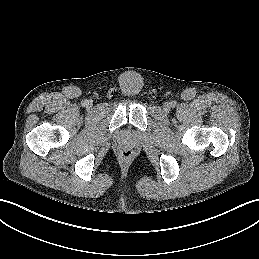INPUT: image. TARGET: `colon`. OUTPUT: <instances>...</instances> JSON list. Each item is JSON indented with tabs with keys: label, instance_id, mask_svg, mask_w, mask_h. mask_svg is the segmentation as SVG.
<instances>
[{
	"label": "colon",
	"instance_id": "1",
	"mask_svg": "<svg viewBox=\"0 0 259 259\" xmlns=\"http://www.w3.org/2000/svg\"><path fill=\"white\" fill-rule=\"evenodd\" d=\"M123 158L128 159L132 155V151L130 149H125L121 152Z\"/></svg>",
	"mask_w": 259,
	"mask_h": 259
}]
</instances>
